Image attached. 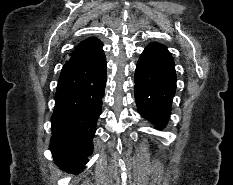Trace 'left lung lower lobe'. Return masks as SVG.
Listing matches in <instances>:
<instances>
[{
	"instance_id": "left-lung-lower-lobe-1",
	"label": "left lung lower lobe",
	"mask_w": 233,
	"mask_h": 185,
	"mask_svg": "<svg viewBox=\"0 0 233 185\" xmlns=\"http://www.w3.org/2000/svg\"><path fill=\"white\" fill-rule=\"evenodd\" d=\"M134 82L138 112L157 128H164L176 89L174 61L165 46L151 43L145 48L137 63Z\"/></svg>"
}]
</instances>
